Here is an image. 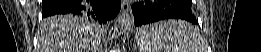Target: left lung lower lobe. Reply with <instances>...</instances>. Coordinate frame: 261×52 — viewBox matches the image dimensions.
Returning <instances> with one entry per match:
<instances>
[{"label":"left lung lower lobe","instance_id":"1","mask_svg":"<svg viewBox=\"0 0 261 52\" xmlns=\"http://www.w3.org/2000/svg\"><path fill=\"white\" fill-rule=\"evenodd\" d=\"M191 5V0H146L135 3L132 6L135 26L169 18L185 19L197 24Z\"/></svg>","mask_w":261,"mask_h":52}]
</instances>
